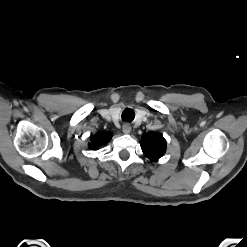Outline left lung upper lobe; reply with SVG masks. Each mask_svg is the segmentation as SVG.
<instances>
[{"mask_svg":"<svg viewBox=\"0 0 247 247\" xmlns=\"http://www.w3.org/2000/svg\"><path fill=\"white\" fill-rule=\"evenodd\" d=\"M143 153L150 160H157L166 152V141L162 134L148 133L141 138Z\"/></svg>","mask_w":247,"mask_h":247,"instance_id":"left-lung-upper-lobe-1","label":"left lung upper lobe"}]
</instances>
